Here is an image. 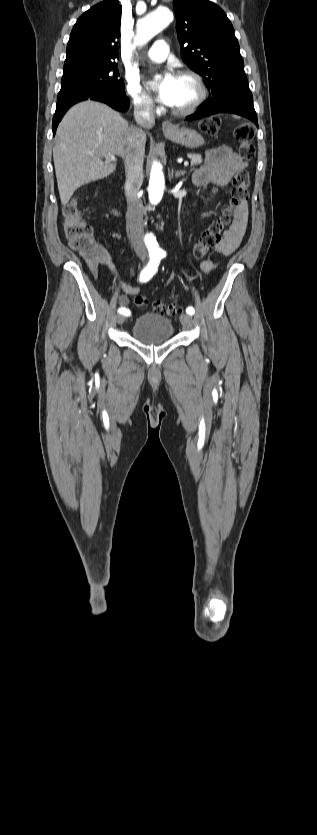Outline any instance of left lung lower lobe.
<instances>
[{
	"instance_id": "left-lung-lower-lobe-1",
	"label": "left lung lower lobe",
	"mask_w": 317,
	"mask_h": 835,
	"mask_svg": "<svg viewBox=\"0 0 317 835\" xmlns=\"http://www.w3.org/2000/svg\"><path fill=\"white\" fill-rule=\"evenodd\" d=\"M216 113H232L251 120L257 127V115L250 90L236 89L224 96L219 102H204L200 108L186 118V121L200 119Z\"/></svg>"
}]
</instances>
